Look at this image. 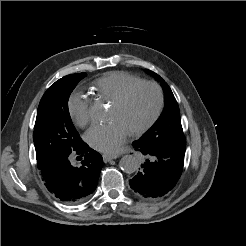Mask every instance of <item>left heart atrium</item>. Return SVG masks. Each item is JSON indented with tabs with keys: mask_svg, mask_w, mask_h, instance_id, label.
<instances>
[{
	"mask_svg": "<svg viewBox=\"0 0 246 246\" xmlns=\"http://www.w3.org/2000/svg\"><path fill=\"white\" fill-rule=\"evenodd\" d=\"M130 131L118 119H113L108 123L94 124L86 133V140L94 149L115 153L124 143Z\"/></svg>",
	"mask_w": 246,
	"mask_h": 246,
	"instance_id": "obj_1",
	"label": "left heart atrium"
}]
</instances>
